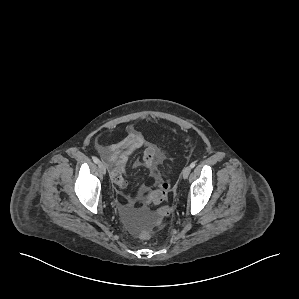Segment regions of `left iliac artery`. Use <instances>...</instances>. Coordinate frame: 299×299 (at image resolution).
Here are the masks:
<instances>
[{"instance_id": "left-iliac-artery-1", "label": "left iliac artery", "mask_w": 299, "mask_h": 299, "mask_svg": "<svg viewBox=\"0 0 299 299\" xmlns=\"http://www.w3.org/2000/svg\"><path fill=\"white\" fill-rule=\"evenodd\" d=\"M190 167H191V168H194V167H195V162H192V163L190 164Z\"/></svg>"}]
</instances>
